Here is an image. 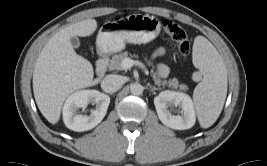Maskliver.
Segmentation results:
<instances>
[{
	"instance_id": "obj_1",
	"label": "liver",
	"mask_w": 267,
	"mask_h": 166,
	"mask_svg": "<svg viewBox=\"0 0 267 166\" xmlns=\"http://www.w3.org/2000/svg\"><path fill=\"white\" fill-rule=\"evenodd\" d=\"M97 28L95 19H86L69 25L56 33L44 46L35 63L33 93L42 115L56 124L66 98L76 90L93 86L92 64L76 54L70 38L86 37Z\"/></svg>"
}]
</instances>
